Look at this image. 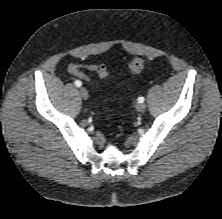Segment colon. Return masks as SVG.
I'll return each instance as SVG.
<instances>
[{"label": "colon", "instance_id": "colon-1", "mask_svg": "<svg viewBox=\"0 0 222 219\" xmlns=\"http://www.w3.org/2000/svg\"><path fill=\"white\" fill-rule=\"evenodd\" d=\"M144 60L142 58H134L129 64V70L132 75L139 74L141 70L144 68ZM93 72H95L100 78H107L110 76V71L105 65L97 64L92 68Z\"/></svg>", "mask_w": 222, "mask_h": 219}]
</instances>
